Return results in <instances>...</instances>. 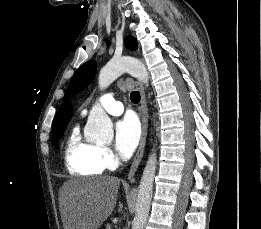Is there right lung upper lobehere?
<instances>
[{"label":"right lung upper lobe","mask_w":261,"mask_h":229,"mask_svg":"<svg viewBox=\"0 0 261 229\" xmlns=\"http://www.w3.org/2000/svg\"><path fill=\"white\" fill-rule=\"evenodd\" d=\"M72 116V106L69 100H66L59 108L53 125L67 124Z\"/></svg>","instance_id":"1"}]
</instances>
